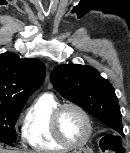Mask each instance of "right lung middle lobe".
Instances as JSON below:
<instances>
[{"label": "right lung middle lobe", "mask_w": 130, "mask_h": 153, "mask_svg": "<svg viewBox=\"0 0 130 153\" xmlns=\"http://www.w3.org/2000/svg\"><path fill=\"white\" fill-rule=\"evenodd\" d=\"M23 107L0 103V142L12 145L16 141L15 123Z\"/></svg>", "instance_id": "right-lung-middle-lobe-1"}]
</instances>
